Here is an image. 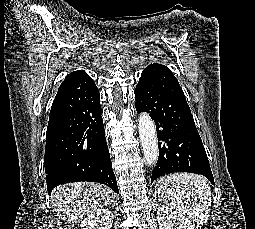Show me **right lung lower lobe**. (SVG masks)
Returning a JSON list of instances; mask_svg holds the SVG:
<instances>
[{
    "label": "right lung lower lobe",
    "instance_id": "obj_1",
    "mask_svg": "<svg viewBox=\"0 0 255 229\" xmlns=\"http://www.w3.org/2000/svg\"><path fill=\"white\" fill-rule=\"evenodd\" d=\"M100 96L85 71L69 75L50 110L44 169L48 191L60 184L91 181L119 193L106 143Z\"/></svg>",
    "mask_w": 255,
    "mask_h": 229
}]
</instances>
